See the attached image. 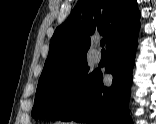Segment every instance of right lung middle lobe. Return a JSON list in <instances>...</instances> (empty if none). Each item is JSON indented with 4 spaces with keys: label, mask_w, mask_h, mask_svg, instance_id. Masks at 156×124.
<instances>
[{
    "label": "right lung middle lobe",
    "mask_w": 156,
    "mask_h": 124,
    "mask_svg": "<svg viewBox=\"0 0 156 124\" xmlns=\"http://www.w3.org/2000/svg\"><path fill=\"white\" fill-rule=\"evenodd\" d=\"M98 73L84 62L39 79L32 117L60 120L82 100Z\"/></svg>",
    "instance_id": "obj_1"
}]
</instances>
